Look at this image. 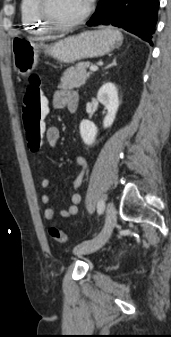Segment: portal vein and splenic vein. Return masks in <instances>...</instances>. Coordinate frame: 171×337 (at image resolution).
Instances as JSON below:
<instances>
[{
    "instance_id": "obj_1",
    "label": "portal vein and splenic vein",
    "mask_w": 171,
    "mask_h": 337,
    "mask_svg": "<svg viewBox=\"0 0 171 337\" xmlns=\"http://www.w3.org/2000/svg\"><path fill=\"white\" fill-rule=\"evenodd\" d=\"M96 70H98V67H97V66L94 65V66H91V67H90V71H96Z\"/></svg>"
}]
</instances>
